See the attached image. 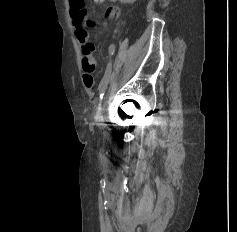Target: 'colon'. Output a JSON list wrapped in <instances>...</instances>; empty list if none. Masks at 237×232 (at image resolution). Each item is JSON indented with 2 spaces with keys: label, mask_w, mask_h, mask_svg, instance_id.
<instances>
[{
  "label": "colon",
  "mask_w": 237,
  "mask_h": 232,
  "mask_svg": "<svg viewBox=\"0 0 237 232\" xmlns=\"http://www.w3.org/2000/svg\"><path fill=\"white\" fill-rule=\"evenodd\" d=\"M70 9L72 20L77 32V35L85 39L88 36L87 28L92 26V23L87 19L84 0H70ZM116 11L113 8H108L105 11V17L111 19L115 17Z\"/></svg>",
  "instance_id": "obj_1"
}]
</instances>
